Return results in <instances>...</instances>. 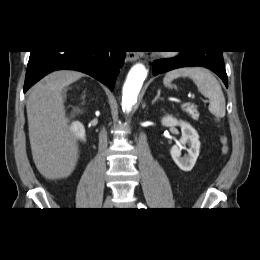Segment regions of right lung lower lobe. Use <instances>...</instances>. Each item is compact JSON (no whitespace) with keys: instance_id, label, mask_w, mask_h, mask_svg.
Masks as SVG:
<instances>
[{"instance_id":"obj_1","label":"right lung lower lobe","mask_w":260,"mask_h":260,"mask_svg":"<svg viewBox=\"0 0 260 260\" xmlns=\"http://www.w3.org/2000/svg\"><path fill=\"white\" fill-rule=\"evenodd\" d=\"M124 59L125 51H31L24 93L45 75L59 69L84 72L113 90Z\"/></svg>"}]
</instances>
